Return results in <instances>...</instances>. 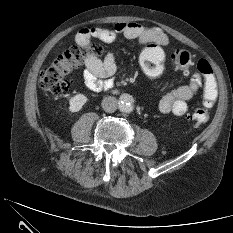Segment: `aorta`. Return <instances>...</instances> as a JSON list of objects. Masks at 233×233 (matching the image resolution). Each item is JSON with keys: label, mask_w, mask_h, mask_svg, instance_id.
<instances>
[{"label": "aorta", "mask_w": 233, "mask_h": 233, "mask_svg": "<svg viewBox=\"0 0 233 233\" xmlns=\"http://www.w3.org/2000/svg\"><path fill=\"white\" fill-rule=\"evenodd\" d=\"M120 110L130 113L134 110V98L130 94H123L120 97Z\"/></svg>", "instance_id": "1"}]
</instances>
